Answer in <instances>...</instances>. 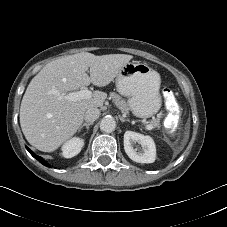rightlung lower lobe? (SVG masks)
<instances>
[{"label": "right lung lower lobe", "instance_id": "obj_1", "mask_svg": "<svg viewBox=\"0 0 227 227\" xmlns=\"http://www.w3.org/2000/svg\"><path fill=\"white\" fill-rule=\"evenodd\" d=\"M27 150H28L29 153H30L34 158H36L40 163H42V164L45 165V166H49V165L47 164V162L44 161L43 158L37 156V155H36L35 153H33L29 148H27Z\"/></svg>", "mask_w": 227, "mask_h": 227}]
</instances>
